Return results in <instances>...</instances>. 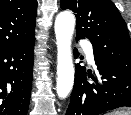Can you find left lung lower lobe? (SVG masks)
Instances as JSON below:
<instances>
[{"instance_id":"obj_1","label":"left lung lower lobe","mask_w":131,"mask_h":115,"mask_svg":"<svg viewBox=\"0 0 131 115\" xmlns=\"http://www.w3.org/2000/svg\"><path fill=\"white\" fill-rule=\"evenodd\" d=\"M78 55V50L74 49V56ZM94 60L98 79L88 75L94 82L87 81L85 67L76 65L66 115H99L118 107L131 106V71L119 68L95 53Z\"/></svg>"}]
</instances>
